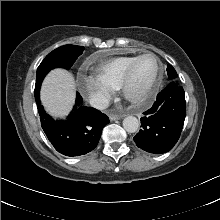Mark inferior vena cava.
<instances>
[{
  "label": "inferior vena cava",
  "mask_w": 220,
  "mask_h": 220,
  "mask_svg": "<svg viewBox=\"0 0 220 220\" xmlns=\"http://www.w3.org/2000/svg\"><path fill=\"white\" fill-rule=\"evenodd\" d=\"M89 102L92 107L99 110L106 109L109 106V101L104 95H94Z\"/></svg>",
  "instance_id": "inferior-vena-cava-1"
}]
</instances>
